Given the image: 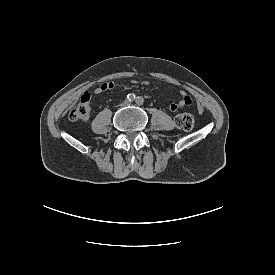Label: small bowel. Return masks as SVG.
I'll return each instance as SVG.
<instances>
[{"label": "small bowel", "mask_w": 275, "mask_h": 275, "mask_svg": "<svg viewBox=\"0 0 275 275\" xmlns=\"http://www.w3.org/2000/svg\"><path fill=\"white\" fill-rule=\"evenodd\" d=\"M113 88H114V84L112 82H104L94 90V95L97 96L103 92L112 90ZM191 104H192L191 97L185 91H181V98L179 102L170 104V110L176 111L180 107L189 106Z\"/></svg>", "instance_id": "c3829d8e"}]
</instances>
